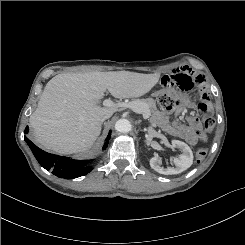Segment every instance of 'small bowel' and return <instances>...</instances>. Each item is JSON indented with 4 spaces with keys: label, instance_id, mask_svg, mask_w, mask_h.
Wrapping results in <instances>:
<instances>
[{
    "label": "small bowel",
    "instance_id": "c3829d8e",
    "mask_svg": "<svg viewBox=\"0 0 245 245\" xmlns=\"http://www.w3.org/2000/svg\"><path fill=\"white\" fill-rule=\"evenodd\" d=\"M158 84L159 87L164 90L170 89L172 86H178L180 90L188 92L194 87L204 90L206 82L202 74L195 72L189 67L183 66L174 69L169 75L161 76ZM206 97V93H204V101L197 105V109L202 113H207L209 111ZM184 108L185 104L182 103L176 111V114H181L184 111ZM157 123L166 133L179 137L190 145L196 144L201 139L199 136L201 119L197 116H188L187 124H183L179 121L171 123L165 113H159L157 115Z\"/></svg>",
    "mask_w": 245,
    "mask_h": 245
}]
</instances>
